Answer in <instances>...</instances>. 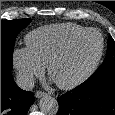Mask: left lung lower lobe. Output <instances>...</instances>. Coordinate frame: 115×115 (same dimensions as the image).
<instances>
[{"instance_id": "left-lung-lower-lobe-1", "label": "left lung lower lobe", "mask_w": 115, "mask_h": 115, "mask_svg": "<svg viewBox=\"0 0 115 115\" xmlns=\"http://www.w3.org/2000/svg\"><path fill=\"white\" fill-rule=\"evenodd\" d=\"M58 103L57 115H115V74L87 79Z\"/></svg>"}]
</instances>
